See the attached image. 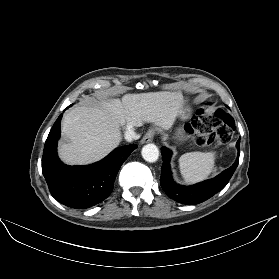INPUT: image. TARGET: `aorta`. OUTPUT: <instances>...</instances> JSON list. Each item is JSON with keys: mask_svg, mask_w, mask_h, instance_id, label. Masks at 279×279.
Masks as SVG:
<instances>
[{"mask_svg": "<svg viewBox=\"0 0 279 279\" xmlns=\"http://www.w3.org/2000/svg\"><path fill=\"white\" fill-rule=\"evenodd\" d=\"M141 154L145 161L153 163L158 160L159 150L155 144H147L142 148Z\"/></svg>", "mask_w": 279, "mask_h": 279, "instance_id": "1", "label": "aorta"}]
</instances>
